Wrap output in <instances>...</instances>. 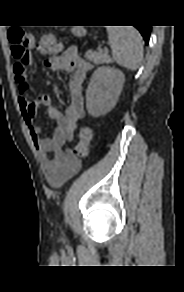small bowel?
<instances>
[{"mask_svg": "<svg viewBox=\"0 0 184 292\" xmlns=\"http://www.w3.org/2000/svg\"><path fill=\"white\" fill-rule=\"evenodd\" d=\"M35 46L32 38L30 47ZM32 62L28 54L25 63L17 61L14 65V78L18 85V102L22 117L34 146L41 155V165L48 183L59 187L79 172L81 162L71 150H63L66 143L73 141L78 122L84 115V97L82 87L92 64L83 59L75 46H70L62 55H53L44 65L51 70L72 73L68 83L69 103L62 112L52 105L51 98L42 94L34 101L27 97L28 84L26 67ZM47 109L48 116L54 120L55 129L51 137H42L41 129L34 120L39 107Z\"/></svg>", "mask_w": 184, "mask_h": 292, "instance_id": "obj_1", "label": "small bowel"}]
</instances>
